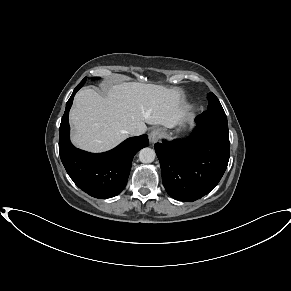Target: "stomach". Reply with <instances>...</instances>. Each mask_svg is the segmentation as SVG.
Returning a JSON list of instances; mask_svg holds the SVG:
<instances>
[{
  "label": "stomach",
  "mask_w": 291,
  "mask_h": 291,
  "mask_svg": "<svg viewBox=\"0 0 291 291\" xmlns=\"http://www.w3.org/2000/svg\"><path fill=\"white\" fill-rule=\"evenodd\" d=\"M188 120V116L186 115L185 118L182 120V122L179 124L180 126H183L184 123H186Z\"/></svg>",
  "instance_id": "0dacf381"
}]
</instances>
